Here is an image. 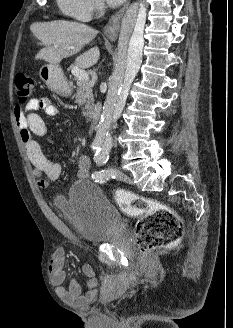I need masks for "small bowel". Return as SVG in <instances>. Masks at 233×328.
<instances>
[{
	"label": "small bowel",
	"instance_id": "c3829d8e",
	"mask_svg": "<svg viewBox=\"0 0 233 328\" xmlns=\"http://www.w3.org/2000/svg\"><path fill=\"white\" fill-rule=\"evenodd\" d=\"M43 110L46 115L55 117L59 114V109L48 98H33L23 108L16 105L14 109L15 121L19 130L26 154L33 166V174L40 187H47L49 181L59 177L61 166L48 159L43 153L35 136H43L47 129L42 117L37 113ZM77 177L85 179L88 176L90 160L87 156L81 155L77 158ZM65 251L57 249L52 254L49 261L50 278L56 288V293L65 302L81 305L92 301L97 292L98 280L89 264L82 266V273L85 276L86 291L83 292L80 284L76 280H71L68 287L64 286L66 273L64 271Z\"/></svg>",
	"mask_w": 233,
	"mask_h": 328
}]
</instances>
